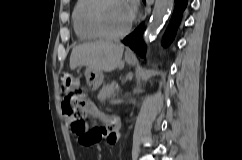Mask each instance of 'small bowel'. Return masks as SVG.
I'll use <instances>...</instances> for the list:
<instances>
[{
  "label": "small bowel",
  "mask_w": 242,
  "mask_h": 160,
  "mask_svg": "<svg viewBox=\"0 0 242 160\" xmlns=\"http://www.w3.org/2000/svg\"><path fill=\"white\" fill-rule=\"evenodd\" d=\"M63 106H64V102L62 104V109H63ZM87 106L89 108V113H91L92 115L97 114V112L89 104H87ZM105 118H112L114 121L113 125H111V126L106 125L107 128H95L94 130H99L100 133H99V137L96 139L94 144L98 143L102 139H105L109 144H115L118 140V128H119L118 119L116 117H105ZM74 122H75L74 118L67 117V124L69 125L71 130L75 133L74 127H73ZM75 134L78 135L77 133H75ZM85 146H89V145H85Z\"/></svg>",
  "instance_id": "c3829d8e"
}]
</instances>
